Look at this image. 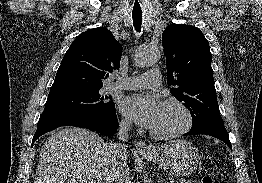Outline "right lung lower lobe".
<instances>
[{
	"instance_id": "obj_1",
	"label": "right lung lower lobe",
	"mask_w": 262,
	"mask_h": 183,
	"mask_svg": "<svg viewBox=\"0 0 262 183\" xmlns=\"http://www.w3.org/2000/svg\"><path fill=\"white\" fill-rule=\"evenodd\" d=\"M61 126H76L112 136L118 128L115 108L104 111H82L76 109H46L38 122L32 144L41 135Z\"/></svg>"
}]
</instances>
